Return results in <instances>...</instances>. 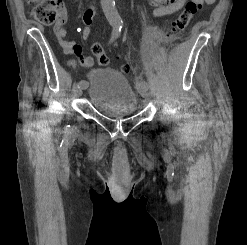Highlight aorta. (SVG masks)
Here are the masks:
<instances>
[{
    "label": "aorta",
    "instance_id": "aorta-1",
    "mask_svg": "<svg viewBox=\"0 0 247 245\" xmlns=\"http://www.w3.org/2000/svg\"><path fill=\"white\" fill-rule=\"evenodd\" d=\"M103 6L105 15L110 24L121 25L123 23L122 18L116 9L115 0H103Z\"/></svg>",
    "mask_w": 247,
    "mask_h": 245
}]
</instances>
